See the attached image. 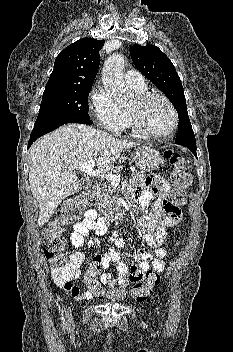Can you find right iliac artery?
<instances>
[{"mask_svg": "<svg viewBox=\"0 0 233 352\" xmlns=\"http://www.w3.org/2000/svg\"><path fill=\"white\" fill-rule=\"evenodd\" d=\"M63 313H64V310H62V320H63V322L65 321V319H64V315H63Z\"/></svg>", "mask_w": 233, "mask_h": 352, "instance_id": "82829eb1", "label": "right iliac artery"}]
</instances>
